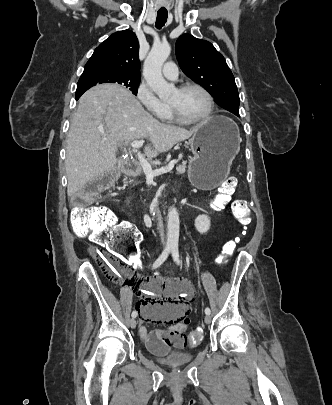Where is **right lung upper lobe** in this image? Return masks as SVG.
<instances>
[{
	"label": "right lung upper lobe",
	"mask_w": 332,
	"mask_h": 405,
	"mask_svg": "<svg viewBox=\"0 0 332 405\" xmlns=\"http://www.w3.org/2000/svg\"><path fill=\"white\" fill-rule=\"evenodd\" d=\"M138 51L139 43L135 33L130 30L118 31L95 49L84 72L110 70L141 77Z\"/></svg>",
	"instance_id": "1"
}]
</instances>
